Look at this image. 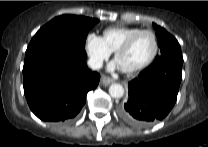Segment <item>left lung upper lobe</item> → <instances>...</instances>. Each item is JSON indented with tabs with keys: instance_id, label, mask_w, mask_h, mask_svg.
Listing matches in <instances>:
<instances>
[{
	"instance_id": "left-lung-upper-lobe-1",
	"label": "left lung upper lobe",
	"mask_w": 208,
	"mask_h": 147,
	"mask_svg": "<svg viewBox=\"0 0 208 147\" xmlns=\"http://www.w3.org/2000/svg\"><path fill=\"white\" fill-rule=\"evenodd\" d=\"M156 36L158 38V46L161 54L155 58L158 59L163 56H171L183 61L181 48L178 41L168 33L164 28L153 23Z\"/></svg>"
}]
</instances>
